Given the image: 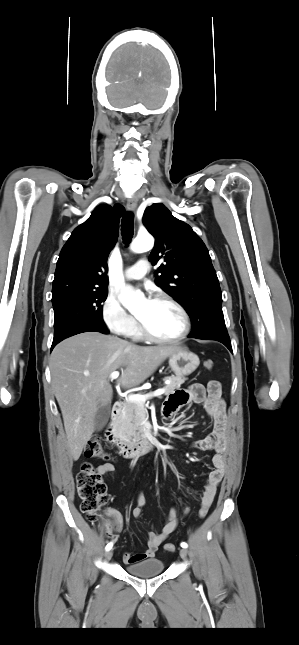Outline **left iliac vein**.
<instances>
[{"instance_id":"obj_1","label":"left iliac vein","mask_w":299,"mask_h":645,"mask_svg":"<svg viewBox=\"0 0 299 645\" xmlns=\"http://www.w3.org/2000/svg\"><path fill=\"white\" fill-rule=\"evenodd\" d=\"M187 555H188V551H187V549L182 548V549L180 550V556H181L183 559H186V558H187Z\"/></svg>"}]
</instances>
